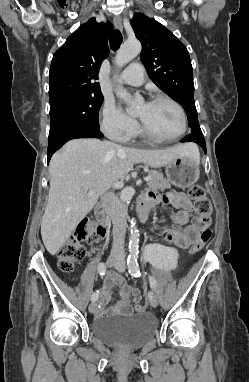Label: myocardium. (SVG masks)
Wrapping results in <instances>:
<instances>
[{"label":"myocardium","mask_w":249,"mask_h":382,"mask_svg":"<svg viewBox=\"0 0 249 382\" xmlns=\"http://www.w3.org/2000/svg\"><path fill=\"white\" fill-rule=\"evenodd\" d=\"M157 102H168L176 108L181 118V131L176 136L171 138L160 137L152 132L141 120H139L141 133L145 137L156 142L171 143L179 140L187 131V116L185 110L176 100L166 95H156L148 103L153 104Z\"/></svg>","instance_id":"f54148a6"}]
</instances>
